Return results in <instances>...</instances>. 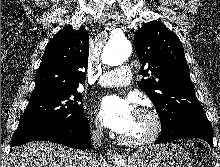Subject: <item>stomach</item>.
Returning <instances> with one entry per match:
<instances>
[{
    "label": "stomach",
    "mask_w": 220,
    "mask_h": 167,
    "mask_svg": "<svg viewBox=\"0 0 220 167\" xmlns=\"http://www.w3.org/2000/svg\"><path fill=\"white\" fill-rule=\"evenodd\" d=\"M113 163L116 167H193L189 154L176 144L141 148Z\"/></svg>",
    "instance_id": "obj_1"
}]
</instances>
